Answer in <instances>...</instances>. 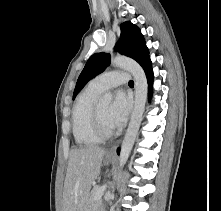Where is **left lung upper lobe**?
Wrapping results in <instances>:
<instances>
[{
  "label": "left lung upper lobe",
  "instance_id": "obj_1",
  "mask_svg": "<svg viewBox=\"0 0 221 211\" xmlns=\"http://www.w3.org/2000/svg\"><path fill=\"white\" fill-rule=\"evenodd\" d=\"M120 28V41L116 45V50H118L121 54L133 58L142 66L150 57L140 29L130 21L122 23ZM109 63L110 54L103 52L93 54L87 61L77 80L73 99H75L76 95L85 86V84L98 74L102 73Z\"/></svg>",
  "mask_w": 221,
  "mask_h": 211
}]
</instances>
